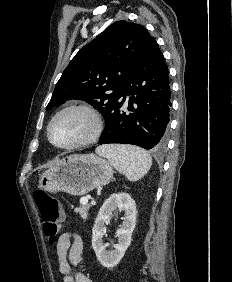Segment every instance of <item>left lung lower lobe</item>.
Returning <instances> with one entry per match:
<instances>
[{
	"instance_id": "left-lung-lower-lobe-1",
	"label": "left lung lower lobe",
	"mask_w": 232,
	"mask_h": 282,
	"mask_svg": "<svg viewBox=\"0 0 232 282\" xmlns=\"http://www.w3.org/2000/svg\"><path fill=\"white\" fill-rule=\"evenodd\" d=\"M126 95L130 96V113L121 109ZM170 98L168 67L152 38L132 73L122 83L119 99L105 117L106 126L99 144L122 143L163 149L167 143Z\"/></svg>"
}]
</instances>
